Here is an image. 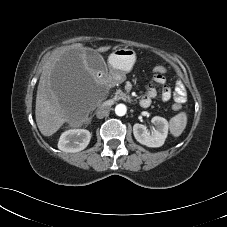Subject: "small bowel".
Masks as SVG:
<instances>
[{
	"instance_id": "obj_1",
	"label": "small bowel",
	"mask_w": 227,
	"mask_h": 227,
	"mask_svg": "<svg viewBox=\"0 0 227 227\" xmlns=\"http://www.w3.org/2000/svg\"><path fill=\"white\" fill-rule=\"evenodd\" d=\"M166 79L163 74H155L153 76L152 83L147 86V92L142 97L141 101L143 102L145 108L151 104L152 99L157 96L156 84L162 85V99L163 101H168L171 98V90L168 86L165 85ZM174 100L177 104H183L186 101V90L184 85L180 82H176Z\"/></svg>"
}]
</instances>
